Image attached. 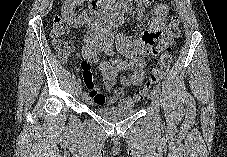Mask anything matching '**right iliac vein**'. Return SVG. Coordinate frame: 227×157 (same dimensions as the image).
<instances>
[{
    "instance_id": "obj_1",
    "label": "right iliac vein",
    "mask_w": 227,
    "mask_h": 157,
    "mask_svg": "<svg viewBox=\"0 0 227 157\" xmlns=\"http://www.w3.org/2000/svg\"><path fill=\"white\" fill-rule=\"evenodd\" d=\"M74 90H75V95L76 96H79L81 94V87H80V85H76L75 88H74Z\"/></svg>"
}]
</instances>
